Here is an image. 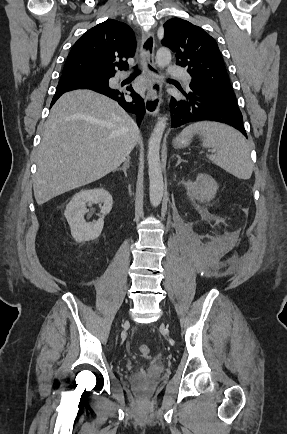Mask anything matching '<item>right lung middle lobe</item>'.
Listing matches in <instances>:
<instances>
[{
    "label": "right lung middle lobe",
    "mask_w": 287,
    "mask_h": 434,
    "mask_svg": "<svg viewBox=\"0 0 287 434\" xmlns=\"http://www.w3.org/2000/svg\"><path fill=\"white\" fill-rule=\"evenodd\" d=\"M110 77L90 74V73H64L61 76L62 80L70 81H83L89 84H96L101 86H108V80Z\"/></svg>",
    "instance_id": "obj_1"
}]
</instances>
